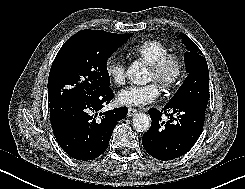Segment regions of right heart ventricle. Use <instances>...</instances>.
I'll list each match as a JSON object with an SVG mask.
<instances>
[{
  "label": "right heart ventricle",
  "mask_w": 245,
  "mask_h": 189,
  "mask_svg": "<svg viewBox=\"0 0 245 189\" xmlns=\"http://www.w3.org/2000/svg\"><path fill=\"white\" fill-rule=\"evenodd\" d=\"M170 54L166 45L157 40H149L132 47L129 55L145 60L149 65Z\"/></svg>",
  "instance_id": "right-heart-ventricle-1"
}]
</instances>
